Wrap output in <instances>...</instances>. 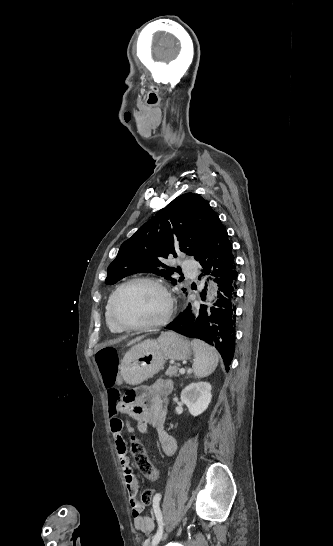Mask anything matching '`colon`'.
I'll return each mask as SVG.
<instances>
[{
    "instance_id": "obj_1",
    "label": "colon",
    "mask_w": 333,
    "mask_h": 546,
    "mask_svg": "<svg viewBox=\"0 0 333 546\" xmlns=\"http://www.w3.org/2000/svg\"><path fill=\"white\" fill-rule=\"evenodd\" d=\"M97 367L102 375L104 383L111 387L116 381L118 358L116 350L113 347H104L99 349L95 354ZM109 401L115 403L119 400V393L116 390H109ZM137 394L135 391H130L124 397V404L127 407H132L136 403ZM130 450L139 472L149 478L155 476L159 471L151 463L143 443L136 437L131 438ZM155 491L147 489L141 494L142 505L153 503Z\"/></svg>"
}]
</instances>
